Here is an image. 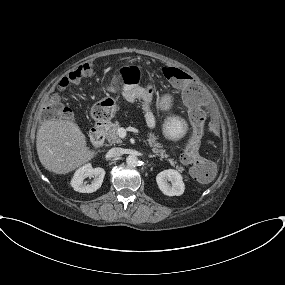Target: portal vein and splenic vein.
Returning a JSON list of instances; mask_svg holds the SVG:
<instances>
[{"instance_id":"obj_1","label":"portal vein and splenic vein","mask_w":285,"mask_h":285,"mask_svg":"<svg viewBox=\"0 0 285 285\" xmlns=\"http://www.w3.org/2000/svg\"><path fill=\"white\" fill-rule=\"evenodd\" d=\"M126 134H127L126 129H124V128H119V129H118V135H119V137L125 138V137H126Z\"/></svg>"}]
</instances>
